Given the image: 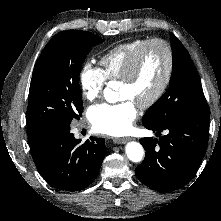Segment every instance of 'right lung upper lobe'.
I'll return each mask as SVG.
<instances>
[{
    "mask_svg": "<svg viewBox=\"0 0 221 221\" xmlns=\"http://www.w3.org/2000/svg\"><path fill=\"white\" fill-rule=\"evenodd\" d=\"M38 145H39V144H33V145L30 146V148H31V149H34V148H36Z\"/></svg>",
    "mask_w": 221,
    "mask_h": 221,
    "instance_id": "obj_1",
    "label": "right lung upper lobe"
}]
</instances>
